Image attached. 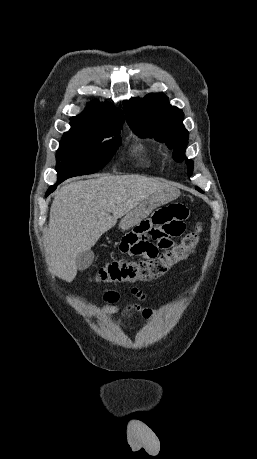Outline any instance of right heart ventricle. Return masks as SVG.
Segmentation results:
<instances>
[{
	"instance_id": "1",
	"label": "right heart ventricle",
	"mask_w": 257,
	"mask_h": 459,
	"mask_svg": "<svg viewBox=\"0 0 257 459\" xmlns=\"http://www.w3.org/2000/svg\"><path fill=\"white\" fill-rule=\"evenodd\" d=\"M135 152H137L143 158H146L148 156V154H149L148 150L143 145H138L135 148Z\"/></svg>"
}]
</instances>
